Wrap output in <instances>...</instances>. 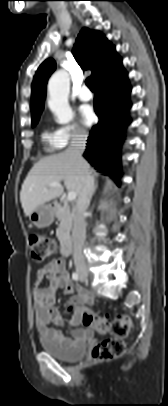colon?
I'll return each instance as SVG.
<instances>
[{"mask_svg": "<svg viewBox=\"0 0 168 406\" xmlns=\"http://www.w3.org/2000/svg\"><path fill=\"white\" fill-rule=\"evenodd\" d=\"M31 257L35 262H43L54 252V243L49 238L39 233H33L28 239ZM82 322L93 325L98 332L109 334L104 340L97 342L90 354L95 362L109 361L119 358L125 351L124 338L130 330V320L124 315L105 318L89 311L82 314Z\"/></svg>", "mask_w": 168, "mask_h": 406, "instance_id": "1", "label": "colon"}]
</instances>
